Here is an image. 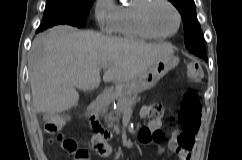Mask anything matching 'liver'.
I'll list each match as a JSON object with an SVG mask.
<instances>
[{"label": "liver", "mask_w": 242, "mask_h": 160, "mask_svg": "<svg viewBox=\"0 0 242 160\" xmlns=\"http://www.w3.org/2000/svg\"><path fill=\"white\" fill-rule=\"evenodd\" d=\"M171 44H149L133 39L108 37L59 25L37 36L30 52V83L33 106L38 113H60L79 100L76 89L97 88L101 82L121 83L138 77L153 63L171 57Z\"/></svg>", "instance_id": "obj_1"}]
</instances>
